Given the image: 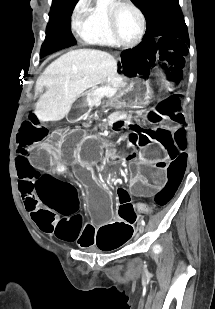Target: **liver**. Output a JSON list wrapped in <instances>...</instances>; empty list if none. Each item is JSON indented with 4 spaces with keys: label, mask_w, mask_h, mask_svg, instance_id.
I'll use <instances>...</instances> for the list:
<instances>
[{
    "label": "liver",
    "mask_w": 215,
    "mask_h": 309,
    "mask_svg": "<svg viewBox=\"0 0 215 309\" xmlns=\"http://www.w3.org/2000/svg\"><path fill=\"white\" fill-rule=\"evenodd\" d=\"M116 68V58L105 50L77 48L62 54L36 80V90L47 88L36 102L37 114L61 120L86 88L107 80Z\"/></svg>",
    "instance_id": "6515ba94"
}]
</instances>
